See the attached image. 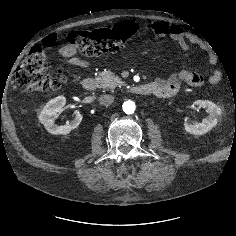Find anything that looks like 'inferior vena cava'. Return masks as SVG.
Masks as SVG:
<instances>
[{
	"instance_id": "inferior-vena-cava-1",
	"label": "inferior vena cava",
	"mask_w": 236,
	"mask_h": 236,
	"mask_svg": "<svg viewBox=\"0 0 236 236\" xmlns=\"http://www.w3.org/2000/svg\"><path fill=\"white\" fill-rule=\"evenodd\" d=\"M114 97L109 94H104L99 97V102L101 105L109 106L113 103Z\"/></svg>"
}]
</instances>
